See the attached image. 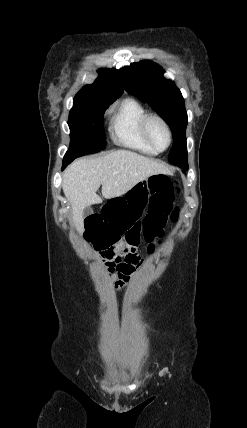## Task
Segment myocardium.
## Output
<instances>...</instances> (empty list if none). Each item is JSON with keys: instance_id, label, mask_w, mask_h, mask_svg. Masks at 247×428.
<instances>
[{"instance_id": "myocardium-1", "label": "myocardium", "mask_w": 247, "mask_h": 428, "mask_svg": "<svg viewBox=\"0 0 247 428\" xmlns=\"http://www.w3.org/2000/svg\"><path fill=\"white\" fill-rule=\"evenodd\" d=\"M155 121L159 122L164 127V129L166 130L167 135H168V144L165 148H162V149L158 148L155 145V143L153 142L151 135H150V125L152 122H155ZM142 133H143V136H144L145 140L147 141V143L152 148H154L157 152L166 151L171 146L172 141H173V135H172V131H171L169 124L167 123V121L163 117H161L160 115H157V114H148L144 118V120L142 122Z\"/></svg>"}]
</instances>
